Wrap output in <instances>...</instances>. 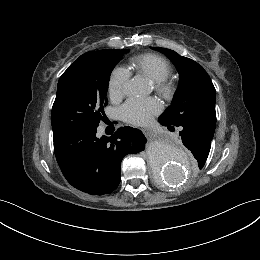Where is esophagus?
<instances>
[{"instance_id": "1", "label": "esophagus", "mask_w": 260, "mask_h": 260, "mask_svg": "<svg viewBox=\"0 0 260 260\" xmlns=\"http://www.w3.org/2000/svg\"><path fill=\"white\" fill-rule=\"evenodd\" d=\"M142 131L144 132V134H145L146 136L151 137V136L153 135V132L151 131V129H150L149 127H143V128H142Z\"/></svg>"}]
</instances>
